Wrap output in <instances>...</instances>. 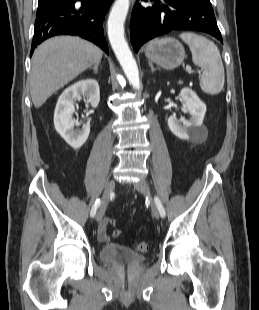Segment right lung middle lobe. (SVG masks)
I'll return each instance as SVG.
<instances>
[{"label": "right lung middle lobe", "instance_id": "right-lung-middle-lobe-1", "mask_svg": "<svg viewBox=\"0 0 259 310\" xmlns=\"http://www.w3.org/2000/svg\"><path fill=\"white\" fill-rule=\"evenodd\" d=\"M61 2H66V0H39L38 7H46L51 4H57Z\"/></svg>", "mask_w": 259, "mask_h": 310}]
</instances>
